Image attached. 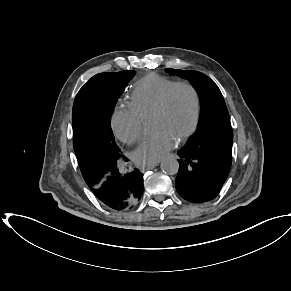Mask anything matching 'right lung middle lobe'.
Listing matches in <instances>:
<instances>
[{
	"instance_id": "dd1d6c3e",
	"label": "right lung middle lobe",
	"mask_w": 291,
	"mask_h": 291,
	"mask_svg": "<svg viewBox=\"0 0 291 291\" xmlns=\"http://www.w3.org/2000/svg\"><path fill=\"white\" fill-rule=\"evenodd\" d=\"M134 71L100 73L76 95L72 111L73 147L79 165L93 167L122 157L110 125L113 107Z\"/></svg>"
}]
</instances>
